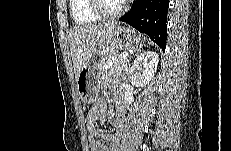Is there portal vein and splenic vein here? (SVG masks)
Listing matches in <instances>:
<instances>
[{
    "mask_svg": "<svg viewBox=\"0 0 231 151\" xmlns=\"http://www.w3.org/2000/svg\"><path fill=\"white\" fill-rule=\"evenodd\" d=\"M122 57H124V58H128V57H129V55H128V54H122Z\"/></svg>",
    "mask_w": 231,
    "mask_h": 151,
    "instance_id": "obj_1",
    "label": "portal vein and splenic vein"
}]
</instances>
